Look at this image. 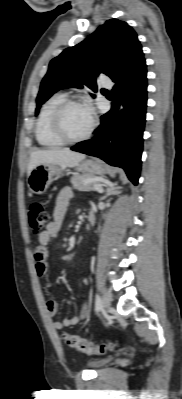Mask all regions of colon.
Instances as JSON below:
<instances>
[{
	"label": "colon",
	"instance_id": "obj_1",
	"mask_svg": "<svg viewBox=\"0 0 182 399\" xmlns=\"http://www.w3.org/2000/svg\"><path fill=\"white\" fill-rule=\"evenodd\" d=\"M29 226L32 232H43L49 223V214L46 208L39 202H33L27 209ZM65 344L73 349L86 354H104L117 348V343H94L73 334H64Z\"/></svg>",
	"mask_w": 182,
	"mask_h": 399
}]
</instances>
